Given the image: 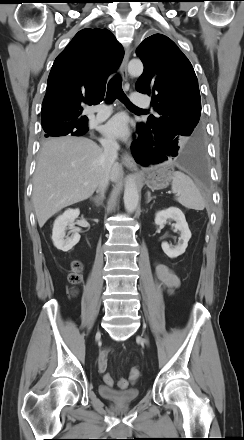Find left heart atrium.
Wrapping results in <instances>:
<instances>
[{"label":"left heart atrium","instance_id":"left-heart-atrium-1","mask_svg":"<svg viewBox=\"0 0 244 440\" xmlns=\"http://www.w3.org/2000/svg\"><path fill=\"white\" fill-rule=\"evenodd\" d=\"M101 130L111 139L125 140L129 136L128 120L124 114H117L109 119Z\"/></svg>","mask_w":244,"mask_h":440}]
</instances>
